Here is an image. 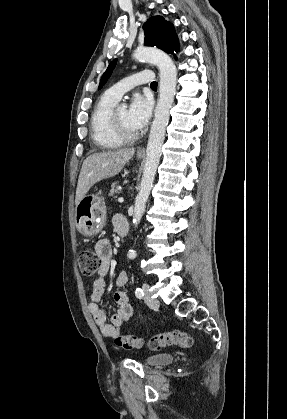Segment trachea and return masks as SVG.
I'll use <instances>...</instances> for the list:
<instances>
[{
  "label": "trachea",
  "instance_id": "1",
  "mask_svg": "<svg viewBox=\"0 0 287 419\" xmlns=\"http://www.w3.org/2000/svg\"><path fill=\"white\" fill-rule=\"evenodd\" d=\"M150 86L151 87H157V82H152Z\"/></svg>",
  "mask_w": 287,
  "mask_h": 419
}]
</instances>
